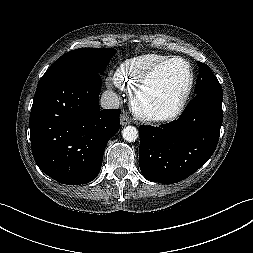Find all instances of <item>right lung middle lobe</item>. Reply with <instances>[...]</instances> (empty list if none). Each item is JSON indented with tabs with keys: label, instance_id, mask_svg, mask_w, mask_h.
Listing matches in <instances>:
<instances>
[{
	"label": "right lung middle lobe",
	"instance_id": "right-lung-middle-lobe-1",
	"mask_svg": "<svg viewBox=\"0 0 253 253\" xmlns=\"http://www.w3.org/2000/svg\"><path fill=\"white\" fill-rule=\"evenodd\" d=\"M115 49L79 48L65 53L45 72L40 81L60 75H92L100 77ZM39 81V82H40Z\"/></svg>",
	"mask_w": 253,
	"mask_h": 253
}]
</instances>
